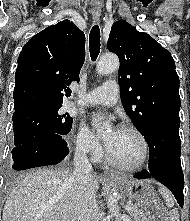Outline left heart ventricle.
Returning a JSON list of instances; mask_svg holds the SVG:
<instances>
[{"mask_svg":"<svg viewBox=\"0 0 190 221\" xmlns=\"http://www.w3.org/2000/svg\"><path fill=\"white\" fill-rule=\"evenodd\" d=\"M104 140L114 157L122 163L134 165L140 161L143 147L133 132L122 129L109 130Z\"/></svg>","mask_w":190,"mask_h":221,"instance_id":"obj_1","label":"left heart ventricle"}]
</instances>
